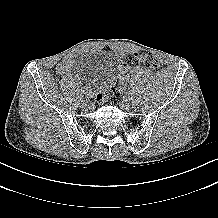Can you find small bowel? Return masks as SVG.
Here are the masks:
<instances>
[{
	"mask_svg": "<svg viewBox=\"0 0 218 218\" xmlns=\"http://www.w3.org/2000/svg\"><path fill=\"white\" fill-rule=\"evenodd\" d=\"M57 72L61 75L76 74L75 56L67 55L57 65Z\"/></svg>",
	"mask_w": 218,
	"mask_h": 218,
	"instance_id": "small-bowel-1",
	"label": "small bowel"
}]
</instances>
